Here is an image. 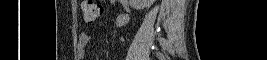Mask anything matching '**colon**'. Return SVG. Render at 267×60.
Segmentation results:
<instances>
[{"mask_svg":"<svg viewBox=\"0 0 267 60\" xmlns=\"http://www.w3.org/2000/svg\"><path fill=\"white\" fill-rule=\"evenodd\" d=\"M83 18L91 23L99 19L103 14V7L99 1H84L82 4Z\"/></svg>","mask_w":267,"mask_h":60,"instance_id":"1","label":"colon"}]
</instances>
